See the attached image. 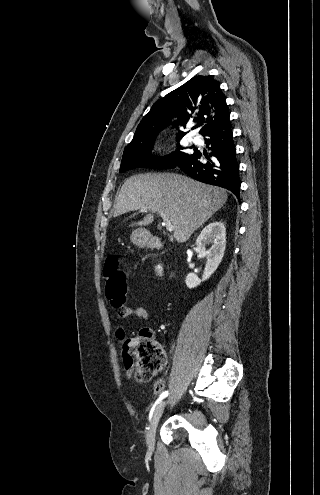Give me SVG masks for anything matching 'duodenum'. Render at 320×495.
I'll return each instance as SVG.
<instances>
[{
    "mask_svg": "<svg viewBox=\"0 0 320 495\" xmlns=\"http://www.w3.org/2000/svg\"><path fill=\"white\" fill-rule=\"evenodd\" d=\"M144 240L153 248H160L162 246L160 240L151 235H145Z\"/></svg>",
    "mask_w": 320,
    "mask_h": 495,
    "instance_id": "obj_1",
    "label": "duodenum"
}]
</instances>
